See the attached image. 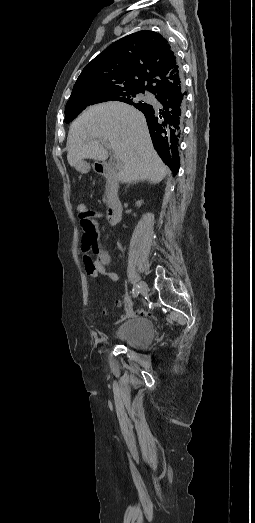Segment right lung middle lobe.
Masks as SVG:
<instances>
[{
	"label": "right lung middle lobe",
	"mask_w": 255,
	"mask_h": 523,
	"mask_svg": "<svg viewBox=\"0 0 255 523\" xmlns=\"http://www.w3.org/2000/svg\"><path fill=\"white\" fill-rule=\"evenodd\" d=\"M139 93H141V92H128V93H124V94L117 95V96L105 97V98L96 100L94 102L66 105L65 122L69 123L72 120H74L86 107H88L90 105H93L96 103H101V102H106V101H121V102L129 103L131 101L138 100Z\"/></svg>",
	"instance_id": "1"
}]
</instances>
